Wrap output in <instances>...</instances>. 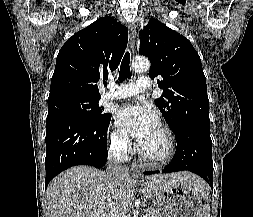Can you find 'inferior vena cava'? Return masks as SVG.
Listing matches in <instances>:
<instances>
[{
  "instance_id": "1",
  "label": "inferior vena cava",
  "mask_w": 253,
  "mask_h": 217,
  "mask_svg": "<svg viewBox=\"0 0 253 217\" xmlns=\"http://www.w3.org/2000/svg\"><path fill=\"white\" fill-rule=\"evenodd\" d=\"M122 146H115L111 148L108 154L106 173L111 178V181L114 183V187H119L122 183L121 179L129 177V169L126 166L122 165ZM113 193H118V188H113Z\"/></svg>"
}]
</instances>
